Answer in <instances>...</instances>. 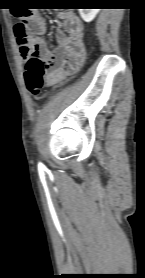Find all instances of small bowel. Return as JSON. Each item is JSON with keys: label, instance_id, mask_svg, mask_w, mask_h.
Here are the masks:
<instances>
[{"label": "small bowel", "instance_id": "c3829d8e", "mask_svg": "<svg viewBox=\"0 0 145 278\" xmlns=\"http://www.w3.org/2000/svg\"><path fill=\"white\" fill-rule=\"evenodd\" d=\"M63 29L56 33L57 46L53 50L47 46L43 34L47 31V22L44 18L30 14L26 19V26L32 34V45L28 52L20 50L24 59L36 55L48 62L50 72L49 85L55 84L62 75L66 65L80 69L85 61V50L82 44L83 24L80 19L68 13L59 15Z\"/></svg>", "mask_w": 145, "mask_h": 278}]
</instances>
